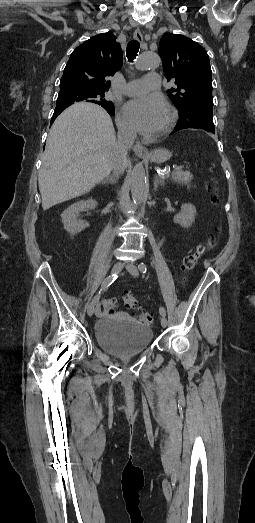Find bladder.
I'll use <instances>...</instances> for the list:
<instances>
[{"label": "bladder", "instance_id": "31cf9c89", "mask_svg": "<svg viewBox=\"0 0 255 523\" xmlns=\"http://www.w3.org/2000/svg\"><path fill=\"white\" fill-rule=\"evenodd\" d=\"M122 320L121 318H119ZM115 317H103L95 326L94 338L99 347L108 353L127 356L141 352L151 345L153 331L127 319L126 324H119Z\"/></svg>", "mask_w": 255, "mask_h": 523}]
</instances>
